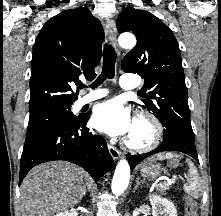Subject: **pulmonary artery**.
I'll use <instances>...</instances> for the list:
<instances>
[{"instance_id": "1", "label": "pulmonary artery", "mask_w": 221, "mask_h": 216, "mask_svg": "<svg viewBox=\"0 0 221 216\" xmlns=\"http://www.w3.org/2000/svg\"><path fill=\"white\" fill-rule=\"evenodd\" d=\"M119 83L123 89H127V90L135 89L139 86L138 81L134 77H131L128 75H123L120 78ZM108 93L109 92L106 89H96V90L86 94L85 96L80 97L76 101L75 105L77 108H81L90 102H93V101H96L98 99L105 97L106 95H108Z\"/></svg>"}]
</instances>
